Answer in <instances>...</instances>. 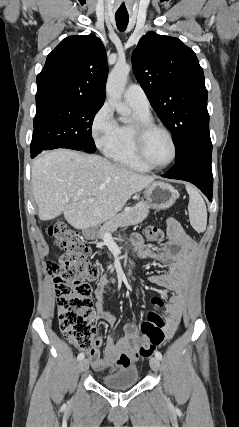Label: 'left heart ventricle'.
<instances>
[{
    "label": "left heart ventricle",
    "instance_id": "1",
    "mask_svg": "<svg viewBox=\"0 0 239 427\" xmlns=\"http://www.w3.org/2000/svg\"><path fill=\"white\" fill-rule=\"evenodd\" d=\"M148 160L155 165L168 162L172 156V145L169 138L161 131L152 132L145 148Z\"/></svg>",
    "mask_w": 239,
    "mask_h": 427
}]
</instances>
